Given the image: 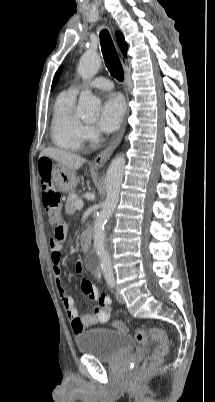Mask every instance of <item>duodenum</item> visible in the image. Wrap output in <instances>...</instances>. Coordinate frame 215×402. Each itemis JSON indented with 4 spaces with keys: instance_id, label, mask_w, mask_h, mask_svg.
<instances>
[{
    "instance_id": "410a0bca",
    "label": "duodenum",
    "mask_w": 215,
    "mask_h": 402,
    "mask_svg": "<svg viewBox=\"0 0 215 402\" xmlns=\"http://www.w3.org/2000/svg\"><path fill=\"white\" fill-rule=\"evenodd\" d=\"M91 239H92V232L90 230H87L81 240V246L84 251H88L90 246H91Z\"/></svg>"
}]
</instances>
